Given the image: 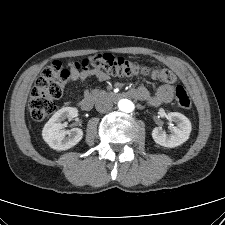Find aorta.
I'll use <instances>...</instances> for the list:
<instances>
[{
	"label": "aorta",
	"instance_id": "obj_1",
	"mask_svg": "<svg viewBox=\"0 0 225 225\" xmlns=\"http://www.w3.org/2000/svg\"><path fill=\"white\" fill-rule=\"evenodd\" d=\"M118 107L121 111L126 112V113L132 112L135 108L133 102L128 99H121L118 102Z\"/></svg>",
	"mask_w": 225,
	"mask_h": 225
}]
</instances>
